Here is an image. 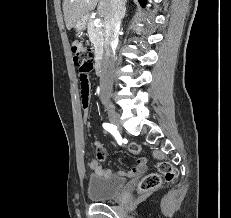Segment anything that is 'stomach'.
Returning <instances> with one entry per match:
<instances>
[{
	"label": "stomach",
	"mask_w": 231,
	"mask_h": 218,
	"mask_svg": "<svg viewBox=\"0 0 231 218\" xmlns=\"http://www.w3.org/2000/svg\"><path fill=\"white\" fill-rule=\"evenodd\" d=\"M86 21H87V17H84V18H81V19L77 20L74 23L73 27L76 30V32L81 33L82 31H84Z\"/></svg>",
	"instance_id": "stomach-1"
}]
</instances>
